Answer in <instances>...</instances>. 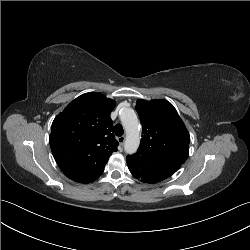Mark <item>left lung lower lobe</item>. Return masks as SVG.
<instances>
[{
  "mask_svg": "<svg viewBox=\"0 0 250 250\" xmlns=\"http://www.w3.org/2000/svg\"><path fill=\"white\" fill-rule=\"evenodd\" d=\"M126 161L132 175L142 182L156 183L175 173L170 169L156 166L147 156L137 153L127 156Z\"/></svg>",
  "mask_w": 250,
  "mask_h": 250,
  "instance_id": "1",
  "label": "left lung lower lobe"
}]
</instances>
